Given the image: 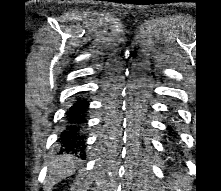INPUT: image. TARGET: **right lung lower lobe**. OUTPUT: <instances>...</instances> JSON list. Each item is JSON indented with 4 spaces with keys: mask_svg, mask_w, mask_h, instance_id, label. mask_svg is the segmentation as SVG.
Segmentation results:
<instances>
[{
    "mask_svg": "<svg viewBox=\"0 0 221 191\" xmlns=\"http://www.w3.org/2000/svg\"><path fill=\"white\" fill-rule=\"evenodd\" d=\"M89 106L85 98H78L66 112L65 129L58 139L61 148L67 153H84L85 136L83 134L84 123L87 122L86 114Z\"/></svg>",
    "mask_w": 221,
    "mask_h": 191,
    "instance_id": "obj_1",
    "label": "right lung lower lobe"
}]
</instances>
